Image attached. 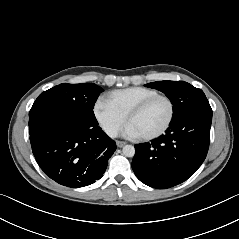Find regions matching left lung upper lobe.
<instances>
[{"label": "left lung upper lobe", "mask_w": 239, "mask_h": 239, "mask_svg": "<svg viewBox=\"0 0 239 239\" xmlns=\"http://www.w3.org/2000/svg\"><path fill=\"white\" fill-rule=\"evenodd\" d=\"M147 87L165 93L173 104V120L199 110H211L209 102L201 89L184 81H157L146 84Z\"/></svg>", "instance_id": "5c2ea615"}]
</instances>
